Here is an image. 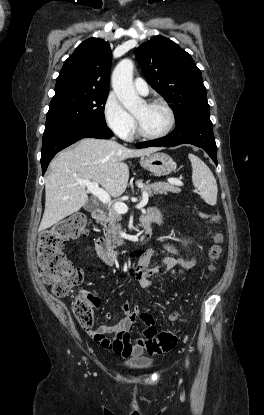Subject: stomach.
I'll list each match as a JSON object with an SVG mask.
<instances>
[{
	"mask_svg": "<svg viewBox=\"0 0 264 415\" xmlns=\"http://www.w3.org/2000/svg\"><path fill=\"white\" fill-rule=\"evenodd\" d=\"M140 165L158 177L169 175L176 167L173 159L162 152H155L141 158Z\"/></svg>",
	"mask_w": 264,
	"mask_h": 415,
	"instance_id": "stomach-1",
	"label": "stomach"
}]
</instances>
